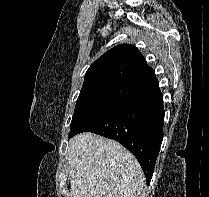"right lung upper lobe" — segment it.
<instances>
[{
  "label": "right lung upper lobe",
  "mask_w": 209,
  "mask_h": 197,
  "mask_svg": "<svg viewBox=\"0 0 209 197\" xmlns=\"http://www.w3.org/2000/svg\"><path fill=\"white\" fill-rule=\"evenodd\" d=\"M84 82H115L138 92L159 84L140 51L121 44L103 54L87 70Z\"/></svg>",
  "instance_id": "obj_1"
}]
</instances>
